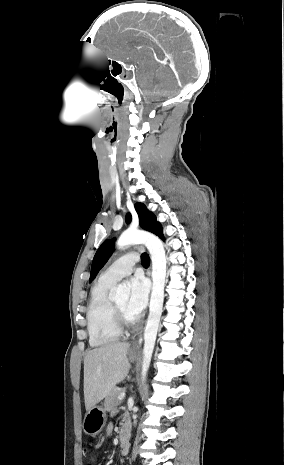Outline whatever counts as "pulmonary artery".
<instances>
[{
  "instance_id": "pulmonary-artery-1",
  "label": "pulmonary artery",
  "mask_w": 284,
  "mask_h": 465,
  "mask_svg": "<svg viewBox=\"0 0 284 465\" xmlns=\"http://www.w3.org/2000/svg\"><path fill=\"white\" fill-rule=\"evenodd\" d=\"M141 261L139 253L121 254L118 261L108 267L102 274L101 279L109 283H115L132 273L136 262Z\"/></svg>"
}]
</instances>
